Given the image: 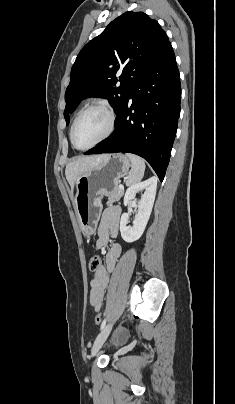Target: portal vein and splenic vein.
I'll return each mask as SVG.
<instances>
[{
  "instance_id": "obj_1",
  "label": "portal vein and splenic vein",
  "mask_w": 235,
  "mask_h": 404,
  "mask_svg": "<svg viewBox=\"0 0 235 404\" xmlns=\"http://www.w3.org/2000/svg\"><path fill=\"white\" fill-rule=\"evenodd\" d=\"M119 188L122 189V190H124V186H123V185H120Z\"/></svg>"
}]
</instances>
